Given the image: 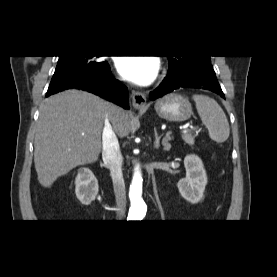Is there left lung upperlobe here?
Here are the masks:
<instances>
[{"label":"left lung upper lobe","instance_id":"obj_1","mask_svg":"<svg viewBox=\"0 0 277 277\" xmlns=\"http://www.w3.org/2000/svg\"><path fill=\"white\" fill-rule=\"evenodd\" d=\"M169 72L187 73L193 70H213L210 56H167Z\"/></svg>","mask_w":277,"mask_h":277}]
</instances>
